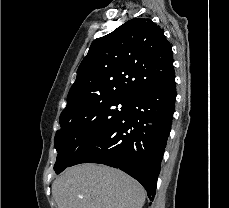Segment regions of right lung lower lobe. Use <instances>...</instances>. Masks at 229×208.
I'll use <instances>...</instances> for the list:
<instances>
[{
	"label": "right lung lower lobe",
	"mask_w": 229,
	"mask_h": 208,
	"mask_svg": "<svg viewBox=\"0 0 229 208\" xmlns=\"http://www.w3.org/2000/svg\"><path fill=\"white\" fill-rule=\"evenodd\" d=\"M176 100L174 74L132 98L121 118L86 145L70 166L99 163L119 168L155 196Z\"/></svg>",
	"instance_id": "98d812e1"
}]
</instances>
